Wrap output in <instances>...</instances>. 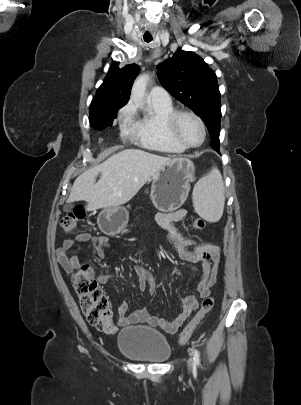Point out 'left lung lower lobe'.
<instances>
[{
    "label": "left lung lower lobe",
    "mask_w": 301,
    "mask_h": 405,
    "mask_svg": "<svg viewBox=\"0 0 301 405\" xmlns=\"http://www.w3.org/2000/svg\"><path fill=\"white\" fill-rule=\"evenodd\" d=\"M211 146L214 150H216L217 152H219V145H217L214 141L211 142Z\"/></svg>",
    "instance_id": "obj_1"
}]
</instances>
